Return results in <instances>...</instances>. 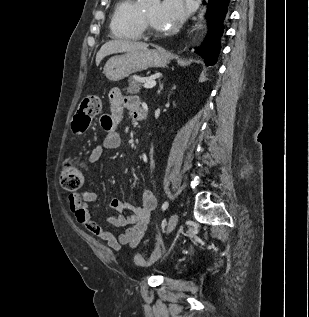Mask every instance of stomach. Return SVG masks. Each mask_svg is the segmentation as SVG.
<instances>
[{
  "mask_svg": "<svg viewBox=\"0 0 309 317\" xmlns=\"http://www.w3.org/2000/svg\"><path fill=\"white\" fill-rule=\"evenodd\" d=\"M169 61L170 54L160 47L140 49L111 57L105 64L103 73L108 80L116 82L150 67H164Z\"/></svg>",
  "mask_w": 309,
  "mask_h": 317,
  "instance_id": "obj_1",
  "label": "stomach"
}]
</instances>
